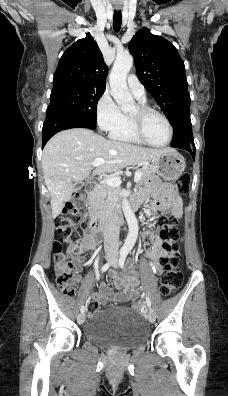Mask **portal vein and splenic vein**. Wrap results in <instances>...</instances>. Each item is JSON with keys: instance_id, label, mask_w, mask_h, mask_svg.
<instances>
[{"instance_id": "obj_1", "label": "portal vein and splenic vein", "mask_w": 228, "mask_h": 396, "mask_svg": "<svg viewBox=\"0 0 228 396\" xmlns=\"http://www.w3.org/2000/svg\"><path fill=\"white\" fill-rule=\"evenodd\" d=\"M106 161L103 158H97L93 162L90 163V166L97 167L104 164ZM142 173L141 171L135 172L134 182H138L141 179ZM103 183L107 184L110 187H118L121 184V179L119 177H111L103 180Z\"/></svg>"}]
</instances>
